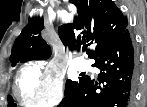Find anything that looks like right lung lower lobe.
Returning <instances> with one entry per match:
<instances>
[{
  "instance_id": "1",
  "label": "right lung lower lobe",
  "mask_w": 147,
  "mask_h": 107,
  "mask_svg": "<svg viewBox=\"0 0 147 107\" xmlns=\"http://www.w3.org/2000/svg\"><path fill=\"white\" fill-rule=\"evenodd\" d=\"M93 59L101 71L98 79L82 77L58 107H131L138 72L128 29Z\"/></svg>"
}]
</instances>
